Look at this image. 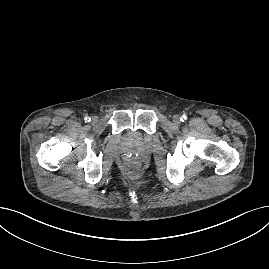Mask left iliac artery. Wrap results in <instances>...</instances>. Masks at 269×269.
<instances>
[{
  "label": "left iliac artery",
  "instance_id": "left-iliac-artery-1",
  "mask_svg": "<svg viewBox=\"0 0 269 269\" xmlns=\"http://www.w3.org/2000/svg\"><path fill=\"white\" fill-rule=\"evenodd\" d=\"M180 120H181V121H185V120H187V116H186V115H182Z\"/></svg>",
  "mask_w": 269,
  "mask_h": 269
}]
</instances>
